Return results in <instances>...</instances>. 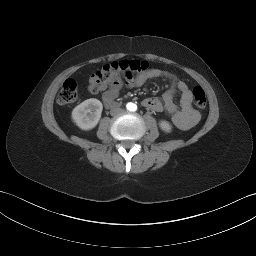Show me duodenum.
<instances>
[{
    "mask_svg": "<svg viewBox=\"0 0 256 256\" xmlns=\"http://www.w3.org/2000/svg\"><path fill=\"white\" fill-rule=\"evenodd\" d=\"M104 103H105V106L106 108H115L117 106V103L113 100V99H110V98H104Z\"/></svg>",
    "mask_w": 256,
    "mask_h": 256,
    "instance_id": "obj_1",
    "label": "duodenum"
}]
</instances>
